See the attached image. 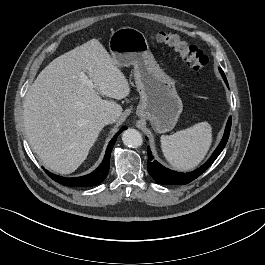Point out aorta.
<instances>
[{
    "label": "aorta",
    "mask_w": 265,
    "mask_h": 265,
    "mask_svg": "<svg viewBox=\"0 0 265 265\" xmlns=\"http://www.w3.org/2000/svg\"><path fill=\"white\" fill-rule=\"evenodd\" d=\"M122 141L128 147H139L142 145V135L136 129H127L122 134Z\"/></svg>",
    "instance_id": "762f6f07"
}]
</instances>
